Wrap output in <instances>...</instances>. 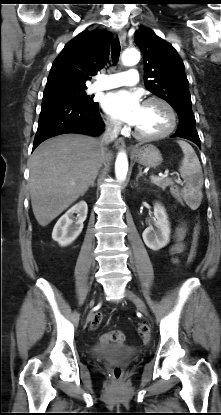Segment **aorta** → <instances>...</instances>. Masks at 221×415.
Returning <instances> with one entry per match:
<instances>
[{"label":"aorta","instance_id":"1","mask_svg":"<svg viewBox=\"0 0 221 415\" xmlns=\"http://www.w3.org/2000/svg\"><path fill=\"white\" fill-rule=\"evenodd\" d=\"M140 60V53L136 49H127L122 54V63L126 66L136 65ZM128 172V159L124 151L118 153L115 162V175L119 182L126 179Z\"/></svg>","mask_w":221,"mask_h":415}]
</instances>
